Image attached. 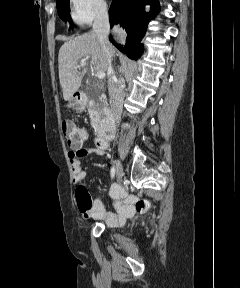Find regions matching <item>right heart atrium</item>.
Here are the masks:
<instances>
[{
	"label": "right heart atrium",
	"instance_id": "d8ad5b80",
	"mask_svg": "<svg viewBox=\"0 0 240 288\" xmlns=\"http://www.w3.org/2000/svg\"><path fill=\"white\" fill-rule=\"evenodd\" d=\"M74 20L81 25L90 24L107 15L105 0H71Z\"/></svg>",
	"mask_w": 240,
	"mask_h": 288
}]
</instances>
